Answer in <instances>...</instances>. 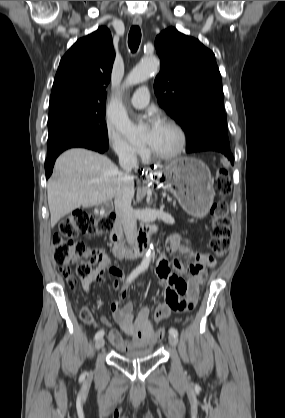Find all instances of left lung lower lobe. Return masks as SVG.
Masks as SVG:
<instances>
[{
  "mask_svg": "<svg viewBox=\"0 0 285 418\" xmlns=\"http://www.w3.org/2000/svg\"><path fill=\"white\" fill-rule=\"evenodd\" d=\"M209 150L218 151V152L223 153L231 161V163L233 164L234 158H233L231 149L228 148V147L219 146V145H203V146H199V147L193 148V149H191V150H189L187 152L188 153H191V152L209 151Z\"/></svg>",
  "mask_w": 285,
  "mask_h": 418,
  "instance_id": "obj_1",
  "label": "left lung lower lobe"
}]
</instances>
